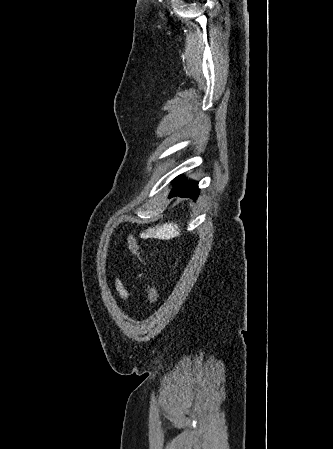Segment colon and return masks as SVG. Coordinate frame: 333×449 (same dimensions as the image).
<instances>
[{
  "label": "colon",
  "mask_w": 333,
  "mask_h": 449,
  "mask_svg": "<svg viewBox=\"0 0 333 449\" xmlns=\"http://www.w3.org/2000/svg\"><path fill=\"white\" fill-rule=\"evenodd\" d=\"M127 244H128L129 250L134 255H136L142 263L145 264L147 262V258L144 254L141 244L136 240V238L129 235L127 237ZM147 297H148L149 302L152 304L156 303L159 299L158 289L153 284H150L147 288Z\"/></svg>",
  "instance_id": "1"
}]
</instances>
